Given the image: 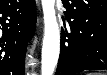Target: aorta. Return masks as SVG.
<instances>
[{
	"mask_svg": "<svg viewBox=\"0 0 107 75\" xmlns=\"http://www.w3.org/2000/svg\"><path fill=\"white\" fill-rule=\"evenodd\" d=\"M44 38L41 57V74L53 75L60 53V31L56 19L55 0H42Z\"/></svg>",
	"mask_w": 107,
	"mask_h": 75,
	"instance_id": "1",
	"label": "aorta"
}]
</instances>
